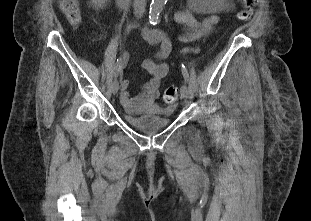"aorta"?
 <instances>
[{"mask_svg": "<svg viewBox=\"0 0 311 221\" xmlns=\"http://www.w3.org/2000/svg\"><path fill=\"white\" fill-rule=\"evenodd\" d=\"M165 0H152L150 4V20H158L160 12L163 10Z\"/></svg>", "mask_w": 311, "mask_h": 221, "instance_id": "obj_1", "label": "aorta"}]
</instances>
